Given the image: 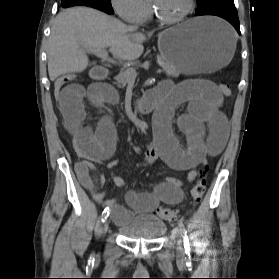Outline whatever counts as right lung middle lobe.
I'll list each match as a JSON object with an SVG mask.
<instances>
[{"label":"right lung middle lobe","instance_id":"dd1d6c3e","mask_svg":"<svg viewBox=\"0 0 279 279\" xmlns=\"http://www.w3.org/2000/svg\"><path fill=\"white\" fill-rule=\"evenodd\" d=\"M101 4H103L104 6L108 7V8H112L111 6V0H98Z\"/></svg>","mask_w":279,"mask_h":279}]
</instances>
